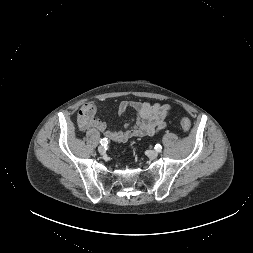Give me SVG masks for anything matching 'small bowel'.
Returning <instances> with one entry per match:
<instances>
[{
    "instance_id": "c3829d8e",
    "label": "small bowel",
    "mask_w": 253,
    "mask_h": 253,
    "mask_svg": "<svg viewBox=\"0 0 253 253\" xmlns=\"http://www.w3.org/2000/svg\"><path fill=\"white\" fill-rule=\"evenodd\" d=\"M99 106V101L85 103L77 114L78 127L81 131L96 129L117 143H126L133 137L156 135L166 127L165 119L170 113L169 104L122 101L117 106L119 115L123 116L128 110H133L137 118L132 125L126 123L122 130H111L96 117Z\"/></svg>"
}]
</instances>
